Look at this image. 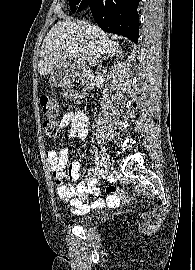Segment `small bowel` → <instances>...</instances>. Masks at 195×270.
I'll return each instance as SVG.
<instances>
[{
	"mask_svg": "<svg viewBox=\"0 0 195 270\" xmlns=\"http://www.w3.org/2000/svg\"><path fill=\"white\" fill-rule=\"evenodd\" d=\"M61 128H66L70 137L78 139H85L88 135L89 120L86 113L82 110H75L65 113L59 121ZM50 171L58 184L59 198L68 202L71 211L75 214L87 213L91 207H118L124 198L123 192L114 186H107L106 199L95 198L91 205L88 201V194L98 196L100 194L99 188L94 184V181L84 179L70 187H63V179L69 177L74 181L81 180L80 164L77 161L71 162L68 170L66 165L68 162V149L62 147L60 149H50L46 153ZM78 194L79 198L74 195Z\"/></svg>",
	"mask_w": 195,
	"mask_h": 270,
	"instance_id": "small-bowel-1",
	"label": "small bowel"
}]
</instances>
